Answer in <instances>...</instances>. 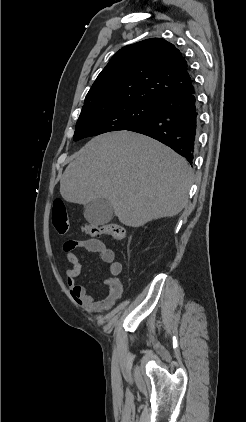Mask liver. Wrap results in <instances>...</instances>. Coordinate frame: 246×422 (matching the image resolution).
Returning a JSON list of instances; mask_svg holds the SVG:
<instances>
[{
    "mask_svg": "<svg viewBox=\"0 0 246 422\" xmlns=\"http://www.w3.org/2000/svg\"><path fill=\"white\" fill-rule=\"evenodd\" d=\"M192 178L187 161L169 147L116 131L94 137L77 153L61 177L60 193L83 205L106 199L122 224L140 227L181 212Z\"/></svg>",
    "mask_w": 246,
    "mask_h": 422,
    "instance_id": "6515ba94",
    "label": "liver"
}]
</instances>
